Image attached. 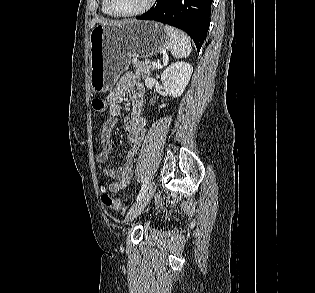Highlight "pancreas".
<instances>
[{
    "mask_svg": "<svg viewBox=\"0 0 315 293\" xmlns=\"http://www.w3.org/2000/svg\"><path fill=\"white\" fill-rule=\"evenodd\" d=\"M133 66L136 68L135 76L136 78H146L151 75V71L155 70L156 67L152 65L151 62H143L137 59L132 60Z\"/></svg>",
    "mask_w": 315,
    "mask_h": 293,
    "instance_id": "pancreas-1",
    "label": "pancreas"
}]
</instances>
